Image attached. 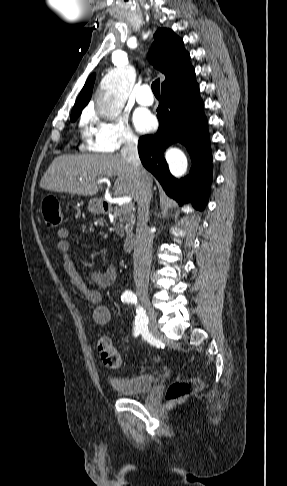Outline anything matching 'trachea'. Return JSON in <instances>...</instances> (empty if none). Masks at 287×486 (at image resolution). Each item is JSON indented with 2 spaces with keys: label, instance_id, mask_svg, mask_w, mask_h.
I'll return each instance as SVG.
<instances>
[{
  "label": "trachea",
  "instance_id": "3493384b",
  "mask_svg": "<svg viewBox=\"0 0 287 486\" xmlns=\"http://www.w3.org/2000/svg\"><path fill=\"white\" fill-rule=\"evenodd\" d=\"M154 95H160V79H156L151 85Z\"/></svg>",
  "mask_w": 287,
  "mask_h": 486
}]
</instances>
